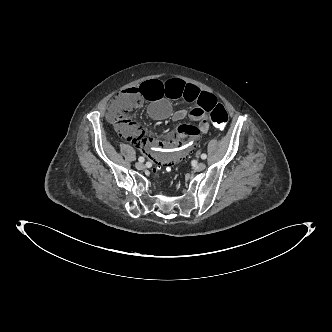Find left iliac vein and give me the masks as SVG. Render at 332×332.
Here are the masks:
<instances>
[{"label":"left iliac vein","mask_w":332,"mask_h":332,"mask_svg":"<svg viewBox=\"0 0 332 332\" xmlns=\"http://www.w3.org/2000/svg\"><path fill=\"white\" fill-rule=\"evenodd\" d=\"M205 168H206V164H205L204 162L197 163V164L194 166V169H195L196 171H203Z\"/></svg>","instance_id":"left-iliac-vein-1"}]
</instances>
